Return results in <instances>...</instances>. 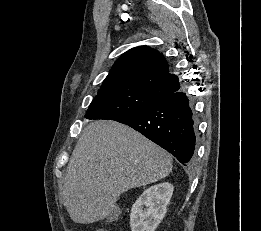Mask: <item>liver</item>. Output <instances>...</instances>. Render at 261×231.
I'll return each instance as SVG.
<instances>
[{
	"mask_svg": "<svg viewBox=\"0 0 261 231\" xmlns=\"http://www.w3.org/2000/svg\"><path fill=\"white\" fill-rule=\"evenodd\" d=\"M172 157L132 128L116 121L89 123L63 180L64 206L75 223L103 220L120 195L170 174Z\"/></svg>",
	"mask_w": 261,
	"mask_h": 231,
	"instance_id": "obj_1",
	"label": "liver"
}]
</instances>
